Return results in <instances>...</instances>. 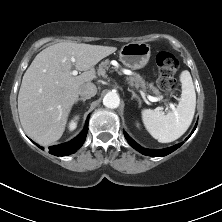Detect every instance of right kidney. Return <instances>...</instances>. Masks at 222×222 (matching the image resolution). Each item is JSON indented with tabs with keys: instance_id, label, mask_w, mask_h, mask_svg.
Segmentation results:
<instances>
[{
	"instance_id": "ca27d5eb",
	"label": "right kidney",
	"mask_w": 222,
	"mask_h": 222,
	"mask_svg": "<svg viewBox=\"0 0 222 222\" xmlns=\"http://www.w3.org/2000/svg\"><path fill=\"white\" fill-rule=\"evenodd\" d=\"M78 119H79V117L76 116V117H74L73 120L70 121V123H69V130L70 131H73L74 129H76V127H77V120Z\"/></svg>"
}]
</instances>
